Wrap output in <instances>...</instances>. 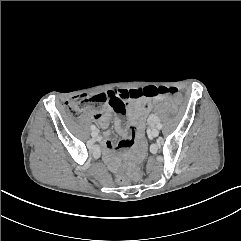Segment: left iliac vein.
I'll list each match as a JSON object with an SVG mask.
<instances>
[{"label": "left iliac vein", "mask_w": 241, "mask_h": 241, "mask_svg": "<svg viewBox=\"0 0 241 241\" xmlns=\"http://www.w3.org/2000/svg\"><path fill=\"white\" fill-rule=\"evenodd\" d=\"M151 135L153 137H157L159 135V130L157 128H153L151 131Z\"/></svg>", "instance_id": "4c4485c4"}]
</instances>
